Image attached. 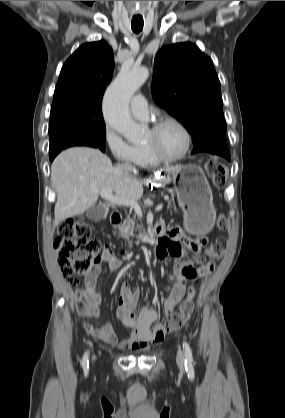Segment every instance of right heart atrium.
I'll return each instance as SVG.
<instances>
[{
  "label": "right heart atrium",
  "instance_id": "1",
  "mask_svg": "<svg viewBox=\"0 0 285 418\" xmlns=\"http://www.w3.org/2000/svg\"><path fill=\"white\" fill-rule=\"evenodd\" d=\"M103 141L118 163L123 165L135 163L132 145L123 139L110 125H106L104 129Z\"/></svg>",
  "mask_w": 285,
  "mask_h": 418
}]
</instances>
